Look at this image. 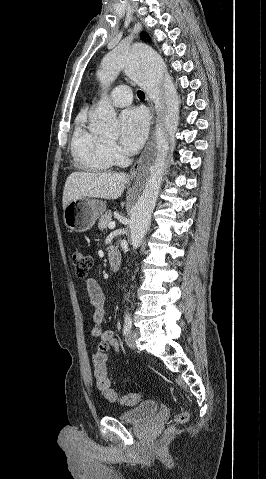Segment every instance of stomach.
Instances as JSON below:
<instances>
[{"label": "stomach", "mask_w": 266, "mask_h": 479, "mask_svg": "<svg viewBox=\"0 0 266 479\" xmlns=\"http://www.w3.org/2000/svg\"><path fill=\"white\" fill-rule=\"evenodd\" d=\"M106 210L104 202L82 197L71 201L65 208V225L74 232H85L92 228L97 218Z\"/></svg>", "instance_id": "1"}]
</instances>
